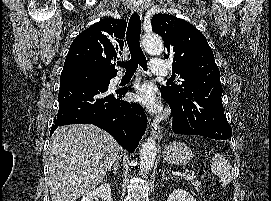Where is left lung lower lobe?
<instances>
[{
    "label": "left lung lower lobe",
    "mask_w": 271,
    "mask_h": 201,
    "mask_svg": "<svg viewBox=\"0 0 271 201\" xmlns=\"http://www.w3.org/2000/svg\"><path fill=\"white\" fill-rule=\"evenodd\" d=\"M162 96H163V98H165L167 103L170 105V107L172 109V112L174 114L173 123H172V129H173L174 133H176V134H185V135H201V136H204L203 133L200 130H197V129L191 127V126H187V125H184L183 123H181L177 119L169 99L166 96H164L163 94H162Z\"/></svg>",
    "instance_id": "1"
}]
</instances>
